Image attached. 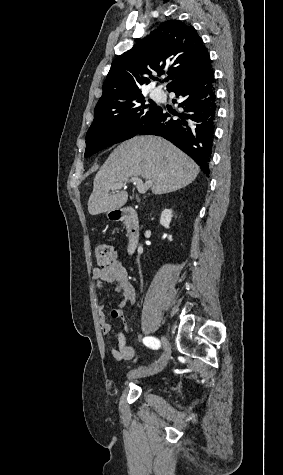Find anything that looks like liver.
Here are the masks:
<instances>
[{
    "label": "liver",
    "mask_w": 283,
    "mask_h": 475,
    "mask_svg": "<svg viewBox=\"0 0 283 475\" xmlns=\"http://www.w3.org/2000/svg\"><path fill=\"white\" fill-rule=\"evenodd\" d=\"M199 172V166L168 140L135 136L117 146L97 172L88 212L96 216L122 208L128 200L127 192H109L132 176L150 180L153 194H169L194 182Z\"/></svg>",
    "instance_id": "1"
}]
</instances>
